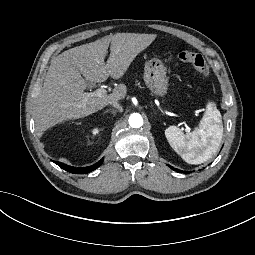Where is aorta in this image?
<instances>
[{
	"mask_svg": "<svg viewBox=\"0 0 255 255\" xmlns=\"http://www.w3.org/2000/svg\"><path fill=\"white\" fill-rule=\"evenodd\" d=\"M129 125L132 128H139L143 125V118L138 113H133L129 117Z\"/></svg>",
	"mask_w": 255,
	"mask_h": 255,
	"instance_id": "762f6f07",
	"label": "aorta"
}]
</instances>
